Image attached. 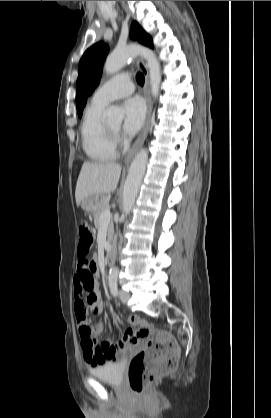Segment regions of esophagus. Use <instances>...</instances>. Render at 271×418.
<instances>
[{
    "mask_svg": "<svg viewBox=\"0 0 271 418\" xmlns=\"http://www.w3.org/2000/svg\"><path fill=\"white\" fill-rule=\"evenodd\" d=\"M136 64L142 71L144 78H145V86H144V97L147 103V115H146V121L143 127V130L139 137L137 138L136 142L134 143L133 147L131 148L130 152L125 158V164L128 165L136 152L139 150V148L142 146L143 142L146 139L149 125H150V118H151V112H152V103L150 98V87H149V71L147 68V65L145 64L144 60L142 58L136 59Z\"/></svg>",
    "mask_w": 271,
    "mask_h": 418,
    "instance_id": "esophagus-1",
    "label": "esophagus"
}]
</instances>
